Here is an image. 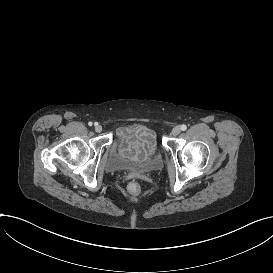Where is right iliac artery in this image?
Returning a JSON list of instances; mask_svg holds the SVG:
<instances>
[{
  "instance_id": "right-iliac-artery-1",
  "label": "right iliac artery",
  "mask_w": 273,
  "mask_h": 273,
  "mask_svg": "<svg viewBox=\"0 0 273 273\" xmlns=\"http://www.w3.org/2000/svg\"><path fill=\"white\" fill-rule=\"evenodd\" d=\"M95 124H96V123H95ZM88 125H89V126H92V125H93V123H92V122H89V123H88Z\"/></svg>"
}]
</instances>
